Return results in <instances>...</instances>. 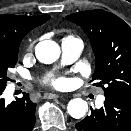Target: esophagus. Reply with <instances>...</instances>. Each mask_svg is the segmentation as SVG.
Masks as SVG:
<instances>
[{"label":"esophagus","mask_w":131,"mask_h":131,"mask_svg":"<svg viewBox=\"0 0 131 131\" xmlns=\"http://www.w3.org/2000/svg\"><path fill=\"white\" fill-rule=\"evenodd\" d=\"M59 97H61V96L58 94H53V93H46L44 95V98H47V99H55V98H59Z\"/></svg>","instance_id":"1"}]
</instances>
